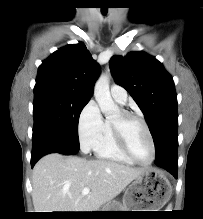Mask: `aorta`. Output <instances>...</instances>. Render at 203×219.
<instances>
[{
    "mask_svg": "<svg viewBox=\"0 0 203 219\" xmlns=\"http://www.w3.org/2000/svg\"><path fill=\"white\" fill-rule=\"evenodd\" d=\"M94 97L105 116L118 112L119 108L113 101L109 90V77L102 74L95 83Z\"/></svg>",
    "mask_w": 203,
    "mask_h": 219,
    "instance_id": "762f6f07",
    "label": "aorta"
}]
</instances>
